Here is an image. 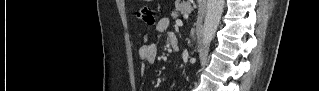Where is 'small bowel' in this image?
I'll return each mask as SVG.
<instances>
[{"label":"small bowel","mask_w":319,"mask_h":91,"mask_svg":"<svg viewBox=\"0 0 319 91\" xmlns=\"http://www.w3.org/2000/svg\"><path fill=\"white\" fill-rule=\"evenodd\" d=\"M170 25V21L168 18L164 17L158 20L155 31L156 33L160 34L168 30ZM173 34H170V37ZM158 54V48L156 44L149 41V35L146 34L144 36V42L139 48V57L143 63L142 71H144V64H152L156 61Z\"/></svg>","instance_id":"1"}]
</instances>
